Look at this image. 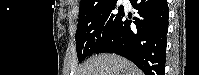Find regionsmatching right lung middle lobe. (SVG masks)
<instances>
[{
	"instance_id": "dd1d6c3e",
	"label": "right lung middle lobe",
	"mask_w": 199,
	"mask_h": 75,
	"mask_svg": "<svg viewBox=\"0 0 199 75\" xmlns=\"http://www.w3.org/2000/svg\"><path fill=\"white\" fill-rule=\"evenodd\" d=\"M124 14L117 0H110L86 12L79 13L76 49L79 62L95 53L108 39Z\"/></svg>"
}]
</instances>
